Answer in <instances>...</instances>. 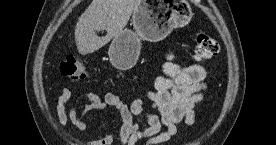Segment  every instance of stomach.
Returning a JSON list of instances; mask_svg holds the SVG:
<instances>
[{"label": "stomach", "mask_w": 276, "mask_h": 145, "mask_svg": "<svg viewBox=\"0 0 276 145\" xmlns=\"http://www.w3.org/2000/svg\"><path fill=\"white\" fill-rule=\"evenodd\" d=\"M192 16L185 0H140L133 11V30H122L109 46L112 65L121 71L131 69L138 60L141 40L161 41L173 29L188 24Z\"/></svg>", "instance_id": "obj_1"}]
</instances>
